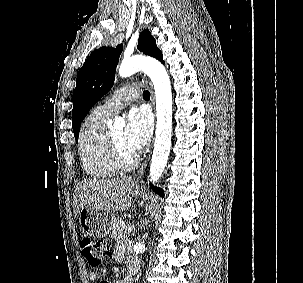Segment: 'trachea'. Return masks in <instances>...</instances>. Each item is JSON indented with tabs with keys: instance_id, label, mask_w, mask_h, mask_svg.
I'll list each match as a JSON object with an SVG mask.
<instances>
[{
	"instance_id": "obj_1",
	"label": "trachea",
	"mask_w": 303,
	"mask_h": 283,
	"mask_svg": "<svg viewBox=\"0 0 303 283\" xmlns=\"http://www.w3.org/2000/svg\"><path fill=\"white\" fill-rule=\"evenodd\" d=\"M143 99L148 100L150 99V92L145 90L143 91Z\"/></svg>"
}]
</instances>
